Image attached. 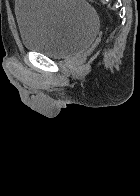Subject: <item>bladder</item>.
I'll return each instance as SVG.
<instances>
[{"instance_id": "bladder-1", "label": "bladder", "mask_w": 140, "mask_h": 196, "mask_svg": "<svg viewBox=\"0 0 140 196\" xmlns=\"http://www.w3.org/2000/svg\"><path fill=\"white\" fill-rule=\"evenodd\" d=\"M20 42L28 52L66 59L95 40L99 21L85 0H15Z\"/></svg>"}]
</instances>
